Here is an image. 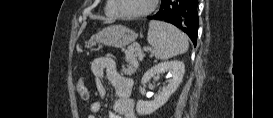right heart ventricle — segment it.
<instances>
[{
  "label": "right heart ventricle",
  "instance_id": "e07e8e85",
  "mask_svg": "<svg viewBox=\"0 0 273 118\" xmlns=\"http://www.w3.org/2000/svg\"><path fill=\"white\" fill-rule=\"evenodd\" d=\"M105 13L107 16L119 17L120 13L115 7L114 0H108L105 6Z\"/></svg>",
  "mask_w": 273,
  "mask_h": 118
}]
</instances>
